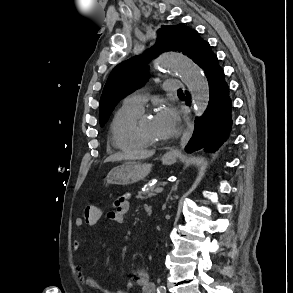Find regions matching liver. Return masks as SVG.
<instances>
[{"label":"liver","instance_id":"liver-1","mask_svg":"<svg viewBox=\"0 0 293 293\" xmlns=\"http://www.w3.org/2000/svg\"><path fill=\"white\" fill-rule=\"evenodd\" d=\"M154 151H140L134 154L116 153L106 158L105 162H117L121 160L146 159L154 155Z\"/></svg>","mask_w":293,"mask_h":293}]
</instances>
